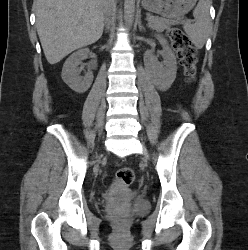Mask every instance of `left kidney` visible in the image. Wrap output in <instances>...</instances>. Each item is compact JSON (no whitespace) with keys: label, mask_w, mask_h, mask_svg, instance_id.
I'll return each mask as SVG.
<instances>
[{"label":"left kidney","mask_w":248,"mask_h":250,"mask_svg":"<svg viewBox=\"0 0 248 250\" xmlns=\"http://www.w3.org/2000/svg\"><path fill=\"white\" fill-rule=\"evenodd\" d=\"M157 40L163 47L164 66L159 65L153 72L154 84L159 89H167L171 86L176 77L177 61L174 52L168 45V42L161 35H156Z\"/></svg>","instance_id":"1"}]
</instances>
